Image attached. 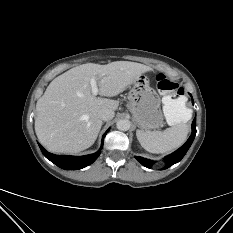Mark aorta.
Listing matches in <instances>:
<instances>
[{"label": "aorta", "mask_w": 233, "mask_h": 233, "mask_svg": "<svg viewBox=\"0 0 233 233\" xmlns=\"http://www.w3.org/2000/svg\"><path fill=\"white\" fill-rule=\"evenodd\" d=\"M130 126H131V122L128 119H120L116 123L117 129H119L121 131H127V130H129Z\"/></svg>", "instance_id": "762f6f07"}]
</instances>
